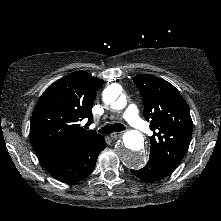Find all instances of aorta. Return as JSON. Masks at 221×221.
Listing matches in <instances>:
<instances>
[{"label": "aorta", "mask_w": 221, "mask_h": 221, "mask_svg": "<svg viewBox=\"0 0 221 221\" xmlns=\"http://www.w3.org/2000/svg\"><path fill=\"white\" fill-rule=\"evenodd\" d=\"M103 100L114 109H123L126 106V97L119 85H111L104 90ZM116 153L127 167L139 169L144 166L146 155L144 151V138L136 130H129L123 135L122 143L117 147Z\"/></svg>", "instance_id": "obj_1"}]
</instances>
